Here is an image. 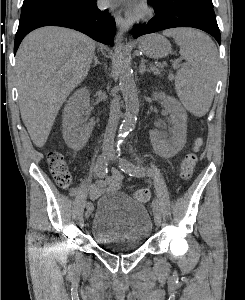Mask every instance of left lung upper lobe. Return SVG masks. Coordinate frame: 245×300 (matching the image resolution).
Segmentation results:
<instances>
[{"mask_svg":"<svg viewBox=\"0 0 245 300\" xmlns=\"http://www.w3.org/2000/svg\"><path fill=\"white\" fill-rule=\"evenodd\" d=\"M213 7L212 0H192Z\"/></svg>","mask_w":245,"mask_h":300,"instance_id":"1","label":"left lung upper lobe"}]
</instances>
